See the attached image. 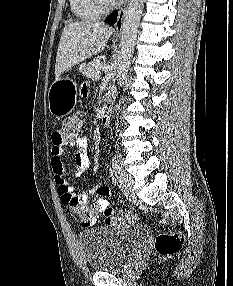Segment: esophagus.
<instances>
[{
  "label": "esophagus",
  "instance_id": "obj_1",
  "mask_svg": "<svg viewBox=\"0 0 233 286\" xmlns=\"http://www.w3.org/2000/svg\"><path fill=\"white\" fill-rule=\"evenodd\" d=\"M129 0H125L124 5L120 8L114 25V34L119 37L122 34L124 17L128 9Z\"/></svg>",
  "mask_w": 233,
  "mask_h": 286
}]
</instances>
